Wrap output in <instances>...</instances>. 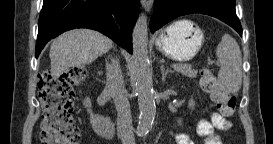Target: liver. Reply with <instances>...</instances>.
I'll return each instance as SVG.
<instances>
[{"instance_id": "6515ba94", "label": "liver", "mask_w": 273, "mask_h": 144, "mask_svg": "<svg viewBox=\"0 0 273 144\" xmlns=\"http://www.w3.org/2000/svg\"><path fill=\"white\" fill-rule=\"evenodd\" d=\"M112 48V40L90 29H74L57 37L50 47L51 76L57 80L72 67L89 64Z\"/></svg>"}]
</instances>
